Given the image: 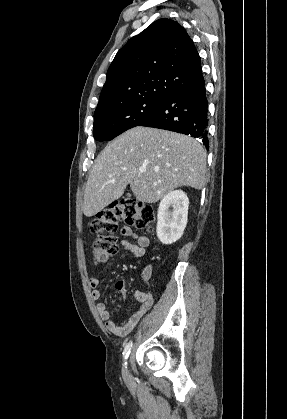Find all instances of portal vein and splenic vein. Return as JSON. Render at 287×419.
<instances>
[{"label": "portal vein and splenic vein", "mask_w": 287, "mask_h": 419, "mask_svg": "<svg viewBox=\"0 0 287 419\" xmlns=\"http://www.w3.org/2000/svg\"><path fill=\"white\" fill-rule=\"evenodd\" d=\"M141 173H144L146 170L145 169H140L139 170Z\"/></svg>", "instance_id": "obj_1"}]
</instances>
